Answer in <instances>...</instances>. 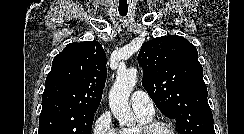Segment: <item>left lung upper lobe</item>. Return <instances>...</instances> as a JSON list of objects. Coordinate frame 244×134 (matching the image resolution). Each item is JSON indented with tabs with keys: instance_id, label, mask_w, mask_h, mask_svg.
I'll list each match as a JSON object with an SVG mask.
<instances>
[{
	"instance_id": "left-lung-upper-lobe-1",
	"label": "left lung upper lobe",
	"mask_w": 244,
	"mask_h": 134,
	"mask_svg": "<svg viewBox=\"0 0 244 134\" xmlns=\"http://www.w3.org/2000/svg\"><path fill=\"white\" fill-rule=\"evenodd\" d=\"M196 47L181 36L154 38L141 47L142 85L180 134H215Z\"/></svg>"
}]
</instances>
